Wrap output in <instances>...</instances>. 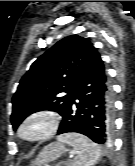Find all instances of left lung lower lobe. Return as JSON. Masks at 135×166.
Masks as SVG:
<instances>
[{"mask_svg": "<svg viewBox=\"0 0 135 166\" xmlns=\"http://www.w3.org/2000/svg\"><path fill=\"white\" fill-rule=\"evenodd\" d=\"M61 116L58 134L77 132L98 144L110 143L114 130L113 93L99 53L82 73L72 101Z\"/></svg>", "mask_w": 135, "mask_h": 166, "instance_id": "1", "label": "left lung lower lobe"}]
</instances>
